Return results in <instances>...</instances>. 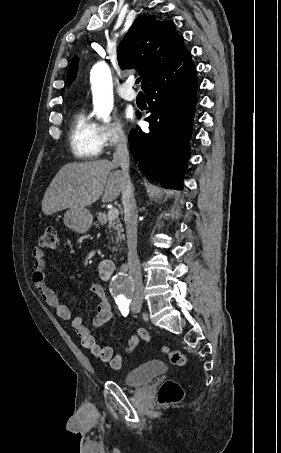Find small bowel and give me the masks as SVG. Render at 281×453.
Here are the masks:
<instances>
[{
    "mask_svg": "<svg viewBox=\"0 0 281 453\" xmlns=\"http://www.w3.org/2000/svg\"><path fill=\"white\" fill-rule=\"evenodd\" d=\"M31 254L33 258L31 279L35 284L37 293L42 297L46 304L56 312L60 319L68 322L70 326L75 329L76 334L81 338L82 345L85 349L97 356L100 361L108 362L112 369H120L124 357L133 353L139 340L147 339V331L142 328L137 329L124 346L123 351L118 354H116L110 346L100 344L92 334L91 329L83 324L79 317L73 316L70 310L59 301L58 297L49 287L46 278L48 258L45 252L42 249L35 248L32 250ZM88 289L99 297L96 314L91 322L93 329L99 330L104 324L112 319V304L109 299L105 297L101 285L91 283L88 286Z\"/></svg>",
    "mask_w": 281,
    "mask_h": 453,
    "instance_id": "c3829d8e",
    "label": "small bowel"
}]
</instances>
